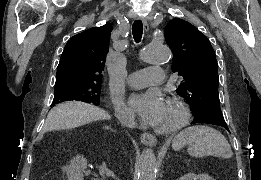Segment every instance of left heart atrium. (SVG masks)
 I'll use <instances>...</instances> for the list:
<instances>
[{"mask_svg": "<svg viewBox=\"0 0 261 180\" xmlns=\"http://www.w3.org/2000/svg\"><path fill=\"white\" fill-rule=\"evenodd\" d=\"M164 101L162 94L157 90L135 92L128 97L127 109L144 121L152 123Z\"/></svg>", "mask_w": 261, "mask_h": 180, "instance_id": "1", "label": "left heart atrium"}]
</instances>
